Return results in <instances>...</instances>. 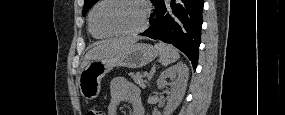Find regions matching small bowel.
Returning <instances> with one entry per match:
<instances>
[{
    "instance_id": "1",
    "label": "small bowel",
    "mask_w": 285,
    "mask_h": 115,
    "mask_svg": "<svg viewBox=\"0 0 285 115\" xmlns=\"http://www.w3.org/2000/svg\"><path fill=\"white\" fill-rule=\"evenodd\" d=\"M109 114L115 115L117 106L125 101L132 106V115H144L139 89L125 78H115L110 85Z\"/></svg>"
}]
</instances>
